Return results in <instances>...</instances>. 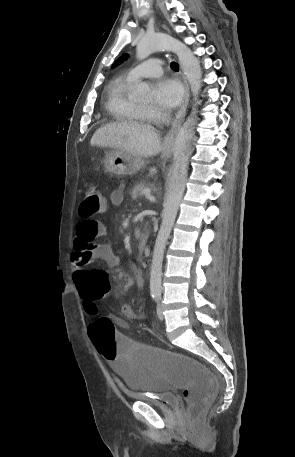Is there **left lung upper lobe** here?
I'll use <instances>...</instances> for the list:
<instances>
[{
	"mask_svg": "<svg viewBox=\"0 0 295 457\" xmlns=\"http://www.w3.org/2000/svg\"><path fill=\"white\" fill-rule=\"evenodd\" d=\"M127 54L123 55L122 57H120L114 64H113V68L116 67L117 65H119L124 59L127 58Z\"/></svg>",
	"mask_w": 295,
	"mask_h": 457,
	"instance_id": "5c2ea615",
	"label": "left lung upper lobe"
}]
</instances>
